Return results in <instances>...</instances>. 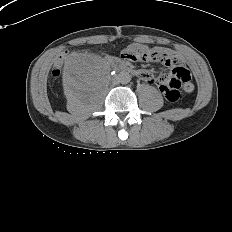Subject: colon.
<instances>
[{"mask_svg":"<svg viewBox=\"0 0 232 232\" xmlns=\"http://www.w3.org/2000/svg\"><path fill=\"white\" fill-rule=\"evenodd\" d=\"M124 58L129 61H140L148 58L160 59L159 51H152L146 48H138L135 50H128L124 53ZM174 72L164 78L162 92L165 94L169 102H177L181 99V90H185V85L191 80L190 73L186 68L176 66ZM61 73L59 63H56L52 68V75L58 77ZM186 91V90H185Z\"/></svg>","mask_w":232,"mask_h":232,"instance_id":"1","label":"colon"}]
</instances>
